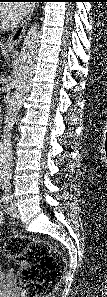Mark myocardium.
<instances>
[{
  "label": "myocardium",
  "instance_id": "obj_1",
  "mask_svg": "<svg viewBox=\"0 0 107 297\" xmlns=\"http://www.w3.org/2000/svg\"><path fill=\"white\" fill-rule=\"evenodd\" d=\"M1 25H2V27H6V26H8V24L7 23H5V22H3V21H1V23H0Z\"/></svg>",
  "mask_w": 107,
  "mask_h": 297
}]
</instances>
